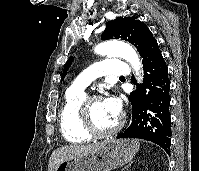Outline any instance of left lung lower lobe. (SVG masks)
<instances>
[{"mask_svg":"<svg viewBox=\"0 0 199 171\" xmlns=\"http://www.w3.org/2000/svg\"><path fill=\"white\" fill-rule=\"evenodd\" d=\"M144 68L143 84L132 92V121L117 138H140L154 142L170 155L171 119L170 80L168 68L159 50L157 41H152L142 52Z\"/></svg>","mask_w":199,"mask_h":171,"instance_id":"obj_1","label":"left lung lower lobe"}]
</instances>
